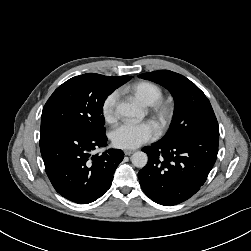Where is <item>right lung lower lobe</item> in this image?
<instances>
[{
	"mask_svg": "<svg viewBox=\"0 0 251 251\" xmlns=\"http://www.w3.org/2000/svg\"><path fill=\"white\" fill-rule=\"evenodd\" d=\"M104 133H85L66 126L40 131V150L45 171L55 190L66 199L87 204L101 197L111 186L113 174L124 158L119 149L91 156L106 146Z\"/></svg>",
	"mask_w": 251,
	"mask_h": 251,
	"instance_id": "right-lung-lower-lobe-1",
	"label": "right lung lower lobe"
}]
</instances>
